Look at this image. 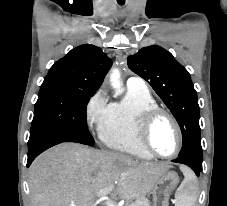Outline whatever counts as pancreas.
Returning <instances> with one entry per match:
<instances>
[{
  "instance_id": "obj_1",
  "label": "pancreas",
  "mask_w": 227,
  "mask_h": 206,
  "mask_svg": "<svg viewBox=\"0 0 227 206\" xmlns=\"http://www.w3.org/2000/svg\"><path fill=\"white\" fill-rule=\"evenodd\" d=\"M125 206H151L148 199L144 196H139L136 198L135 202L132 204H126Z\"/></svg>"
}]
</instances>
